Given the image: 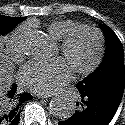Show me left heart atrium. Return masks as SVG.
I'll return each instance as SVG.
<instances>
[{"label": "left heart atrium", "mask_w": 125, "mask_h": 125, "mask_svg": "<svg viewBox=\"0 0 125 125\" xmlns=\"http://www.w3.org/2000/svg\"><path fill=\"white\" fill-rule=\"evenodd\" d=\"M72 69L63 58L35 60L25 64L19 74L21 84L38 94L56 91L71 78Z\"/></svg>", "instance_id": "left-heart-atrium-1"}]
</instances>
